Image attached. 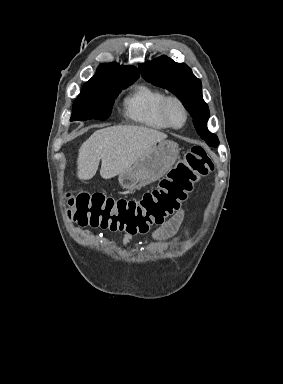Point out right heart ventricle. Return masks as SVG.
Segmentation results:
<instances>
[{"label":"right heart ventricle","instance_id":"e07e8e85","mask_svg":"<svg viewBox=\"0 0 283 384\" xmlns=\"http://www.w3.org/2000/svg\"><path fill=\"white\" fill-rule=\"evenodd\" d=\"M166 93L146 83H135L122 101L125 117L140 127L155 131H165L168 127L159 116V107Z\"/></svg>","mask_w":283,"mask_h":384}]
</instances>
